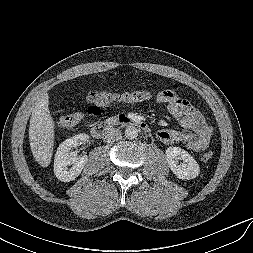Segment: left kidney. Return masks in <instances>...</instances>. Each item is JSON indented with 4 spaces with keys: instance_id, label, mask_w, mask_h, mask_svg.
I'll return each mask as SVG.
<instances>
[{
    "instance_id": "obj_1",
    "label": "left kidney",
    "mask_w": 253,
    "mask_h": 253,
    "mask_svg": "<svg viewBox=\"0 0 253 253\" xmlns=\"http://www.w3.org/2000/svg\"><path fill=\"white\" fill-rule=\"evenodd\" d=\"M166 160L171 171L182 180L196 178L200 173L197 161L184 149L169 147L166 149ZM179 160L182 162L179 163Z\"/></svg>"
}]
</instances>
